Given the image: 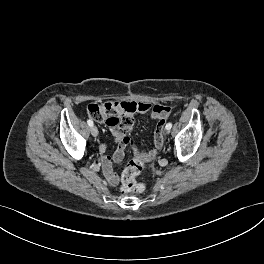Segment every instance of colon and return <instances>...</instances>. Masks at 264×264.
<instances>
[{"instance_id":"colon-1","label":"colon","mask_w":264,"mask_h":264,"mask_svg":"<svg viewBox=\"0 0 264 264\" xmlns=\"http://www.w3.org/2000/svg\"><path fill=\"white\" fill-rule=\"evenodd\" d=\"M137 107L135 104L106 102L93 103L87 108L88 115L97 122H104L112 130L127 132L134 125V113ZM165 120L158 121L155 133L154 143L162 146L164 141ZM147 161V152L140 151L125 166L121 176V190L123 192H141L144 190V184L137 181V177L143 170Z\"/></svg>"}]
</instances>
